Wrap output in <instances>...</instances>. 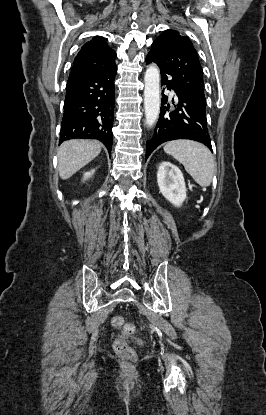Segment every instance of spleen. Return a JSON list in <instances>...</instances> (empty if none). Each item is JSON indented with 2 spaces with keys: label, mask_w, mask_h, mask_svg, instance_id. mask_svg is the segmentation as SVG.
Masks as SVG:
<instances>
[{
  "label": "spleen",
  "mask_w": 266,
  "mask_h": 415,
  "mask_svg": "<svg viewBox=\"0 0 266 415\" xmlns=\"http://www.w3.org/2000/svg\"><path fill=\"white\" fill-rule=\"evenodd\" d=\"M164 151L182 163L187 173L201 187L211 184L216 164L207 147L195 141L177 140L167 143Z\"/></svg>",
  "instance_id": "3e777b00"
}]
</instances>
